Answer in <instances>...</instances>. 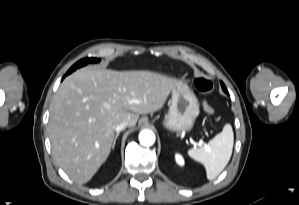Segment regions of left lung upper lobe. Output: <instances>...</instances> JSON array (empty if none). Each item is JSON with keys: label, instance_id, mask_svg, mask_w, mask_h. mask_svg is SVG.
Returning a JSON list of instances; mask_svg holds the SVG:
<instances>
[{"label": "left lung upper lobe", "instance_id": "5c2ea615", "mask_svg": "<svg viewBox=\"0 0 299 205\" xmlns=\"http://www.w3.org/2000/svg\"><path fill=\"white\" fill-rule=\"evenodd\" d=\"M221 86H222L223 91H227L225 85L222 82H221Z\"/></svg>", "mask_w": 299, "mask_h": 205}]
</instances>
